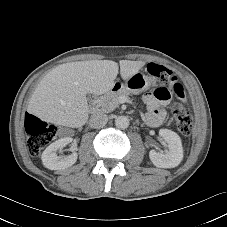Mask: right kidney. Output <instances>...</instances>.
Returning <instances> with one entry per match:
<instances>
[{
  "instance_id": "right-kidney-1",
  "label": "right kidney",
  "mask_w": 227,
  "mask_h": 227,
  "mask_svg": "<svg viewBox=\"0 0 227 227\" xmlns=\"http://www.w3.org/2000/svg\"><path fill=\"white\" fill-rule=\"evenodd\" d=\"M71 137H64L50 144L42 153L43 165L50 170L66 169L77 161V153L73 152L68 156H58L57 151L72 142Z\"/></svg>"
}]
</instances>
